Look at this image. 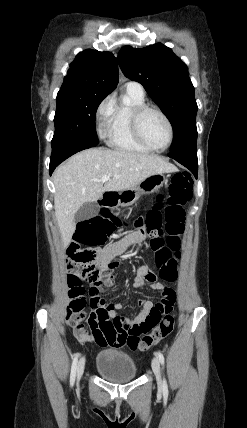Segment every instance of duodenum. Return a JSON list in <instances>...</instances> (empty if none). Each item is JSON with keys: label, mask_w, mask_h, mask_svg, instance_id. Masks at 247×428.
Returning <instances> with one entry per match:
<instances>
[{"label": "duodenum", "mask_w": 247, "mask_h": 428, "mask_svg": "<svg viewBox=\"0 0 247 428\" xmlns=\"http://www.w3.org/2000/svg\"><path fill=\"white\" fill-rule=\"evenodd\" d=\"M117 200L118 194L116 192H108L102 196L99 203L102 207H106L108 204H116Z\"/></svg>", "instance_id": "410a0bca"}]
</instances>
